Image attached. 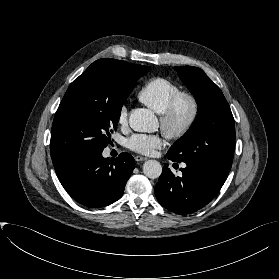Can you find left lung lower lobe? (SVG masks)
<instances>
[{"instance_id":"1","label":"left lung lower lobe","mask_w":279,"mask_h":279,"mask_svg":"<svg viewBox=\"0 0 279 279\" xmlns=\"http://www.w3.org/2000/svg\"><path fill=\"white\" fill-rule=\"evenodd\" d=\"M181 171L182 177H175L166 164L155 185L158 202L180 215L196 212L207 205L226 181V177L206 167L187 165Z\"/></svg>"}]
</instances>
